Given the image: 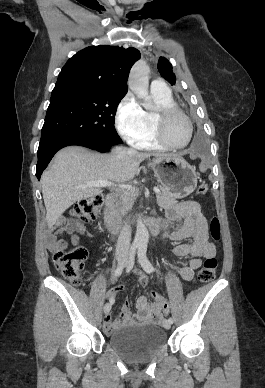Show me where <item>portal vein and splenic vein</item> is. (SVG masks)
<instances>
[{
  "label": "portal vein and splenic vein",
  "mask_w": 265,
  "mask_h": 388,
  "mask_svg": "<svg viewBox=\"0 0 265 388\" xmlns=\"http://www.w3.org/2000/svg\"><path fill=\"white\" fill-rule=\"evenodd\" d=\"M114 188L118 186L121 190H129V192H135V188L128 186V184H114V182H108V180H99V182H86V186H80V188ZM154 192L159 194V188H153Z\"/></svg>",
  "instance_id": "portal-vein-and-splenic-vein-1"
}]
</instances>
